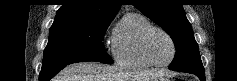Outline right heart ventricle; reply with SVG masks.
I'll return each instance as SVG.
<instances>
[{
	"label": "right heart ventricle",
	"instance_id": "right-heart-ventricle-1",
	"mask_svg": "<svg viewBox=\"0 0 237 81\" xmlns=\"http://www.w3.org/2000/svg\"><path fill=\"white\" fill-rule=\"evenodd\" d=\"M151 26L149 19L141 13L129 12L123 16L112 39L113 56L119 64L133 68L150 66L141 52V38Z\"/></svg>",
	"mask_w": 237,
	"mask_h": 81
}]
</instances>
